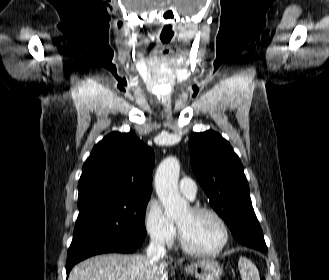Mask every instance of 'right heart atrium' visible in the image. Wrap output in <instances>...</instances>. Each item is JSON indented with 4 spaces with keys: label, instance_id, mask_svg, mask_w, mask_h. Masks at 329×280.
<instances>
[{
    "label": "right heart atrium",
    "instance_id": "1",
    "mask_svg": "<svg viewBox=\"0 0 329 280\" xmlns=\"http://www.w3.org/2000/svg\"><path fill=\"white\" fill-rule=\"evenodd\" d=\"M144 226L150 240L164 247H170L176 239V227L165 216L156 200H149L144 210Z\"/></svg>",
    "mask_w": 329,
    "mask_h": 280
}]
</instances>
